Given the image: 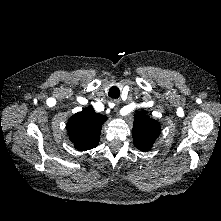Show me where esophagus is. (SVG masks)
Segmentation results:
<instances>
[{
    "instance_id": "34e87169",
    "label": "esophagus",
    "mask_w": 221,
    "mask_h": 221,
    "mask_svg": "<svg viewBox=\"0 0 221 221\" xmlns=\"http://www.w3.org/2000/svg\"><path fill=\"white\" fill-rule=\"evenodd\" d=\"M113 103H114V106H115L114 111H116V110L118 109V107H119L120 100H119V99H115V100L113 101Z\"/></svg>"
}]
</instances>
